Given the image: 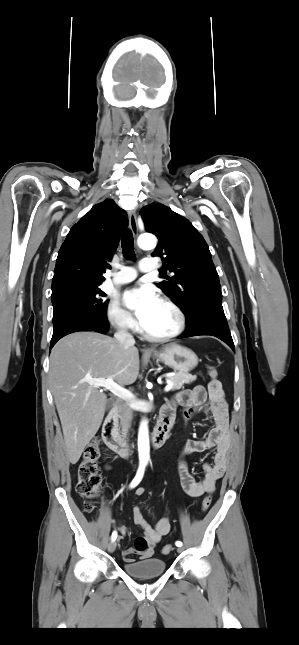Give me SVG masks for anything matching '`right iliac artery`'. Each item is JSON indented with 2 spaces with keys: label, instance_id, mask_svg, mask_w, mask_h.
Wrapping results in <instances>:
<instances>
[{
  "label": "right iliac artery",
  "instance_id": "82829eb1",
  "mask_svg": "<svg viewBox=\"0 0 299 645\" xmlns=\"http://www.w3.org/2000/svg\"><path fill=\"white\" fill-rule=\"evenodd\" d=\"M143 474H144V466H140L138 471H137V474H136L135 478L133 479V481L130 484V488H134L140 483V481L142 480ZM116 538H117V532L114 531L112 533L111 539H112V541H115Z\"/></svg>",
  "mask_w": 299,
  "mask_h": 645
}]
</instances>
